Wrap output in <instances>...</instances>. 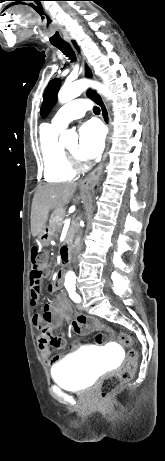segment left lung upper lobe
<instances>
[{
	"mask_svg": "<svg viewBox=\"0 0 165 461\" xmlns=\"http://www.w3.org/2000/svg\"><path fill=\"white\" fill-rule=\"evenodd\" d=\"M60 81L58 79H53L49 82L48 86L44 92V99L41 107V117L45 118L52 106L54 105L57 99V93L59 91Z\"/></svg>",
	"mask_w": 165,
	"mask_h": 461,
	"instance_id": "5c2ea615",
	"label": "left lung upper lobe"
}]
</instances>
